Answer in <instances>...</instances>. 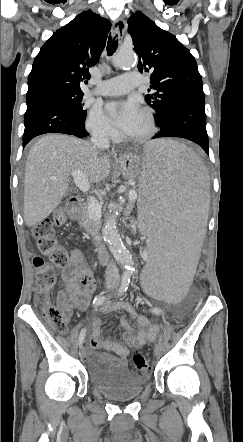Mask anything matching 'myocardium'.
<instances>
[{"mask_svg":"<svg viewBox=\"0 0 243 442\" xmlns=\"http://www.w3.org/2000/svg\"><path fill=\"white\" fill-rule=\"evenodd\" d=\"M142 112L148 118L149 130L145 134L140 135V136H135V137L126 136V140H128L130 142H133V143L145 142V141L151 139L157 131V123H156V118H155L153 110L151 108L144 107L142 109Z\"/></svg>","mask_w":243,"mask_h":442,"instance_id":"f54148a6","label":"myocardium"}]
</instances>
